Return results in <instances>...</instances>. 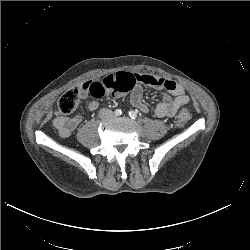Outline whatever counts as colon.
Listing matches in <instances>:
<instances>
[{
    "mask_svg": "<svg viewBox=\"0 0 250 250\" xmlns=\"http://www.w3.org/2000/svg\"><path fill=\"white\" fill-rule=\"evenodd\" d=\"M89 94L94 98H101L107 93V87L101 81H94L88 88ZM80 89L71 88L63 93L57 102L58 110L61 114L68 115L75 111L80 100ZM192 118V111L188 108H181L176 117L175 125L178 128L185 127Z\"/></svg>",
    "mask_w": 250,
    "mask_h": 250,
    "instance_id": "5ec220e1",
    "label": "colon"
}]
</instances>
